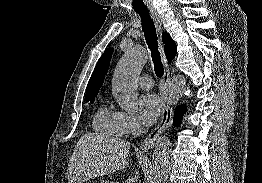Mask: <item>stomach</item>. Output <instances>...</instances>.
I'll use <instances>...</instances> for the list:
<instances>
[{"instance_id":"stomach-1","label":"stomach","mask_w":262,"mask_h":183,"mask_svg":"<svg viewBox=\"0 0 262 183\" xmlns=\"http://www.w3.org/2000/svg\"><path fill=\"white\" fill-rule=\"evenodd\" d=\"M113 181L101 180L100 183H112Z\"/></svg>"}]
</instances>
